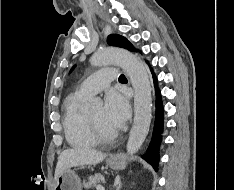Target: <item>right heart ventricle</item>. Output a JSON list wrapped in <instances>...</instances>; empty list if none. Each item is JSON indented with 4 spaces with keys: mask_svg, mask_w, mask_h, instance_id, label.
Here are the masks:
<instances>
[{
    "mask_svg": "<svg viewBox=\"0 0 234 190\" xmlns=\"http://www.w3.org/2000/svg\"><path fill=\"white\" fill-rule=\"evenodd\" d=\"M89 96L75 92L70 94L63 105V127L67 142L75 148H92L98 141L94 137L84 105Z\"/></svg>",
    "mask_w": 234,
    "mask_h": 190,
    "instance_id": "e07e8e85",
    "label": "right heart ventricle"
}]
</instances>
